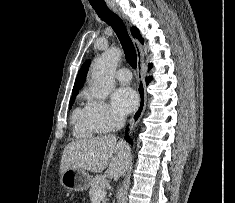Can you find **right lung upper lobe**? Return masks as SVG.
Returning <instances> with one entry per match:
<instances>
[{"mask_svg":"<svg viewBox=\"0 0 235 203\" xmlns=\"http://www.w3.org/2000/svg\"><path fill=\"white\" fill-rule=\"evenodd\" d=\"M131 32L133 34L134 37L138 38L139 41L141 43H143V39L139 33V30L136 28V27H132L131 29ZM90 60L86 61L80 71L78 72V75H77V78L75 80V84H74V87H73V93H76L84 84L85 82V79H86V75H87V72H88V69H89V66H90Z\"/></svg>","mask_w":235,"mask_h":203,"instance_id":"right-lung-upper-lobe-1","label":"right lung upper lobe"}]
</instances>
